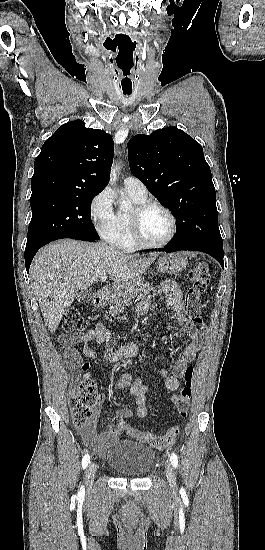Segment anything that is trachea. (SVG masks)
I'll list each match as a JSON object with an SVG mask.
<instances>
[{
    "label": "trachea",
    "instance_id": "trachea-1",
    "mask_svg": "<svg viewBox=\"0 0 265 550\" xmlns=\"http://www.w3.org/2000/svg\"><path fill=\"white\" fill-rule=\"evenodd\" d=\"M123 93H124V94H127V95H130V94H131L130 91H124Z\"/></svg>",
    "mask_w": 265,
    "mask_h": 550
}]
</instances>
